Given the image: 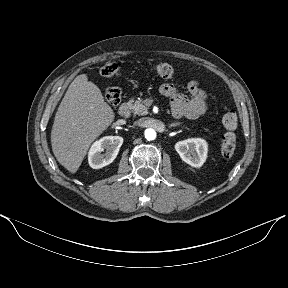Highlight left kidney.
<instances>
[{"label": "left kidney", "mask_w": 288, "mask_h": 288, "mask_svg": "<svg viewBox=\"0 0 288 288\" xmlns=\"http://www.w3.org/2000/svg\"><path fill=\"white\" fill-rule=\"evenodd\" d=\"M181 159L192 167H201L207 158L208 145L202 138H191L175 145Z\"/></svg>", "instance_id": "5707ae66"}]
</instances>
